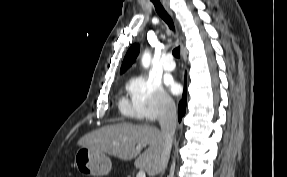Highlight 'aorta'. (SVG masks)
<instances>
[{
	"label": "aorta",
	"instance_id": "1",
	"mask_svg": "<svg viewBox=\"0 0 287 177\" xmlns=\"http://www.w3.org/2000/svg\"><path fill=\"white\" fill-rule=\"evenodd\" d=\"M143 65L145 67H148L149 63H150V55L149 53H145L142 59Z\"/></svg>",
	"mask_w": 287,
	"mask_h": 177
}]
</instances>
